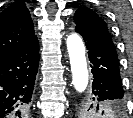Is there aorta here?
<instances>
[{
    "mask_svg": "<svg viewBox=\"0 0 133 118\" xmlns=\"http://www.w3.org/2000/svg\"><path fill=\"white\" fill-rule=\"evenodd\" d=\"M66 44L71 65L72 83L75 90L82 93L87 89L89 82L85 46L82 38L75 33L68 36Z\"/></svg>",
    "mask_w": 133,
    "mask_h": 118,
    "instance_id": "1",
    "label": "aorta"
}]
</instances>
